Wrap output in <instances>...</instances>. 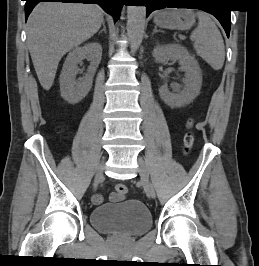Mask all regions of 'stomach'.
<instances>
[{
    "instance_id": "1",
    "label": "stomach",
    "mask_w": 259,
    "mask_h": 266,
    "mask_svg": "<svg viewBox=\"0 0 259 266\" xmlns=\"http://www.w3.org/2000/svg\"><path fill=\"white\" fill-rule=\"evenodd\" d=\"M154 23L166 29L187 30L195 23V14L188 9H166L155 14Z\"/></svg>"
}]
</instances>
